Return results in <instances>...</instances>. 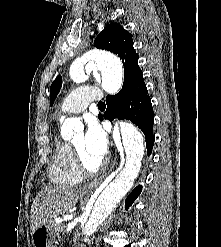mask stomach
Returning <instances> with one entry per match:
<instances>
[{"label": "stomach", "mask_w": 221, "mask_h": 247, "mask_svg": "<svg viewBox=\"0 0 221 247\" xmlns=\"http://www.w3.org/2000/svg\"><path fill=\"white\" fill-rule=\"evenodd\" d=\"M31 236L33 247H53L55 234L51 223L39 226L32 231Z\"/></svg>", "instance_id": "0dacf381"}]
</instances>
